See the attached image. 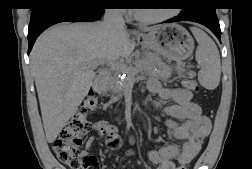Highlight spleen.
I'll use <instances>...</instances> for the list:
<instances>
[{
    "mask_svg": "<svg viewBox=\"0 0 252 169\" xmlns=\"http://www.w3.org/2000/svg\"><path fill=\"white\" fill-rule=\"evenodd\" d=\"M191 31L198 42L196 61L200 66L199 83L208 90L217 88L221 76L219 51L214 41L201 29L192 27Z\"/></svg>",
    "mask_w": 252,
    "mask_h": 169,
    "instance_id": "3e777b00",
    "label": "spleen"
}]
</instances>
